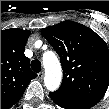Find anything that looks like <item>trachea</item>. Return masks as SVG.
Returning a JSON list of instances; mask_svg holds the SVG:
<instances>
[{"label": "trachea", "mask_w": 109, "mask_h": 109, "mask_svg": "<svg viewBox=\"0 0 109 109\" xmlns=\"http://www.w3.org/2000/svg\"><path fill=\"white\" fill-rule=\"evenodd\" d=\"M31 68L34 72H40L41 70V62L39 60H33L31 62Z\"/></svg>", "instance_id": "3493384b"}]
</instances>
